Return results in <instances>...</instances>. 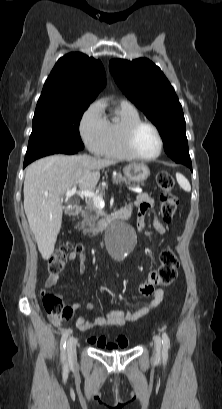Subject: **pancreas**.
Wrapping results in <instances>:
<instances>
[{
    "instance_id": "cf45deb5",
    "label": "pancreas",
    "mask_w": 222,
    "mask_h": 409,
    "mask_svg": "<svg viewBox=\"0 0 222 409\" xmlns=\"http://www.w3.org/2000/svg\"><path fill=\"white\" fill-rule=\"evenodd\" d=\"M113 181L116 183L125 182L127 183L126 179L121 175L117 174L113 176ZM99 192L97 193L98 196L103 197L104 195V187H99ZM102 214V211L94 204L93 199L89 198L86 200V206L84 210L81 212V216L83 217V221L81 225L83 227H88L86 230L88 233H94V222L96 218Z\"/></svg>"
}]
</instances>
